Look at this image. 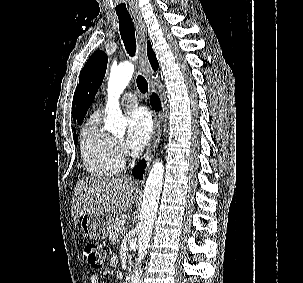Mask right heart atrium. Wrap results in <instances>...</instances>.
<instances>
[{"instance_id":"obj_1","label":"right heart atrium","mask_w":303,"mask_h":283,"mask_svg":"<svg viewBox=\"0 0 303 283\" xmlns=\"http://www.w3.org/2000/svg\"><path fill=\"white\" fill-rule=\"evenodd\" d=\"M116 145H117V148H118L119 152L121 153V155L123 157L128 155L129 151H128V148H127V146H126V144L124 143L123 140L117 139L116 140Z\"/></svg>"}]
</instances>
